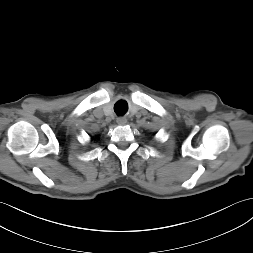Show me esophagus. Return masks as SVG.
<instances>
[{
	"instance_id": "34e87169",
	"label": "esophagus",
	"mask_w": 253,
	"mask_h": 253,
	"mask_svg": "<svg viewBox=\"0 0 253 253\" xmlns=\"http://www.w3.org/2000/svg\"><path fill=\"white\" fill-rule=\"evenodd\" d=\"M117 123L119 125H125L127 123V120L124 117H119V118H117Z\"/></svg>"
}]
</instances>
